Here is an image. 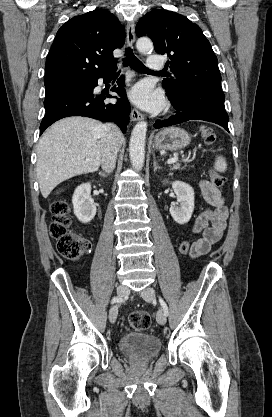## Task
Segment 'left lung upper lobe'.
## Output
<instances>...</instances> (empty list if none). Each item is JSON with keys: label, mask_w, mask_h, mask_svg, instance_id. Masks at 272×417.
Instances as JSON below:
<instances>
[{"label": "left lung upper lobe", "mask_w": 272, "mask_h": 417, "mask_svg": "<svg viewBox=\"0 0 272 417\" xmlns=\"http://www.w3.org/2000/svg\"><path fill=\"white\" fill-rule=\"evenodd\" d=\"M138 37L147 35L157 53L168 55L173 76L162 82L166 94H191L225 108L218 60L200 27L172 11L153 10L136 25Z\"/></svg>", "instance_id": "1"}]
</instances>
